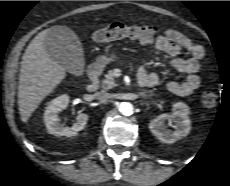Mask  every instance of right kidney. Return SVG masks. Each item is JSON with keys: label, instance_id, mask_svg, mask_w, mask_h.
<instances>
[{"label": "right kidney", "instance_id": "ca27d5eb", "mask_svg": "<svg viewBox=\"0 0 230 186\" xmlns=\"http://www.w3.org/2000/svg\"><path fill=\"white\" fill-rule=\"evenodd\" d=\"M69 104V96L64 94L53 99L46 107L44 122L49 133L56 136H76L79 131L84 129L88 121V115L78 113L76 122L72 127H65L59 122L58 113L66 109Z\"/></svg>", "mask_w": 230, "mask_h": 186}]
</instances>
